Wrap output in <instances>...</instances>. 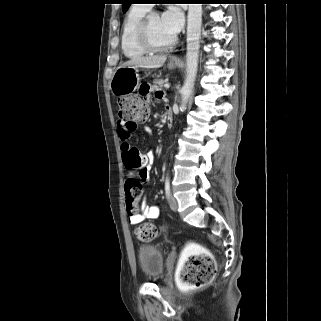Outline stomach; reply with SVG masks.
<instances>
[{
  "mask_svg": "<svg viewBox=\"0 0 321 321\" xmlns=\"http://www.w3.org/2000/svg\"><path fill=\"white\" fill-rule=\"evenodd\" d=\"M167 66L169 69H174L177 63L171 60ZM139 83L138 68L133 66L119 67L111 79L110 88L113 94L125 96L136 90Z\"/></svg>",
  "mask_w": 321,
  "mask_h": 321,
  "instance_id": "1",
  "label": "stomach"
}]
</instances>
